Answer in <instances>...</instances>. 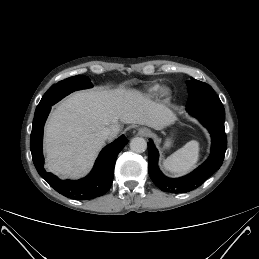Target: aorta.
<instances>
[{"label": "aorta", "instance_id": "1", "mask_svg": "<svg viewBox=\"0 0 259 259\" xmlns=\"http://www.w3.org/2000/svg\"><path fill=\"white\" fill-rule=\"evenodd\" d=\"M130 149L135 153H143L147 149V142L142 137H135L130 142Z\"/></svg>", "mask_w": 259, "mask_h": 259}]
</instances>
